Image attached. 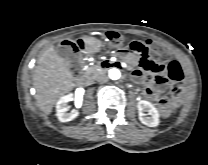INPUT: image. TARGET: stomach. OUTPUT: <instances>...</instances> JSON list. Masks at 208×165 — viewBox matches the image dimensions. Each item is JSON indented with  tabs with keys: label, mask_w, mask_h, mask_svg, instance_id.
Returning a JSON list of instances; mask_svg holds the SVG:
<instances>
[{
	"label": "stomach",
	"mask_w": 208,
	"mask_h": 165,
	"mask_svg": "<svg viewBox=\"0 0 208 165\" xmlns=\"http://www.w3.org/2000/svg\"><path fill=\"white\" fill-rule=\"evenodd\" d=\"M84 44L90 48H101L102 47V42L100 40H98L95 37H90V36L84 38Z\"/></svg>",
	"instance_id": "1"
}]
</instances>
